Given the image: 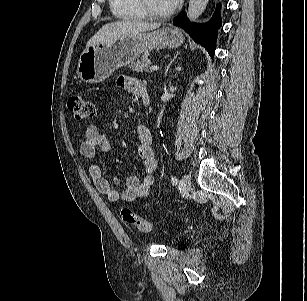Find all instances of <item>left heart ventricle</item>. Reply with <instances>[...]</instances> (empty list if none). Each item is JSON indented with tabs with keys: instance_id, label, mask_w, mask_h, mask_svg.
I'll return each instance as SVG.
<instances>
[{
	"instance_id": "obj_1",
	"label": "left heart ventricle",
	"mask_w": 307,
	"mask_h": 301,
	"mask_svg": "<svg viewBox=\"0 0 307 301\" xmlns=\"http://www.w3.org/2000/svg\"><path fill=\"white\" fill-rule=\"evenodd\" d=\"M148 2L157 12H167L172 8L168 0H148Z\"/></svg>"
}]
</instances>
